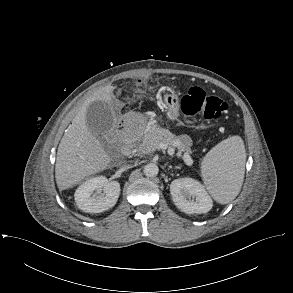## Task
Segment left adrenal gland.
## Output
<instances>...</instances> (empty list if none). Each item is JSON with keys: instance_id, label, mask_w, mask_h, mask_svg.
I'll use <instances>...</instances> for the list:
<instances>
[{"instance_id": "obj_1", "label": "left adrenal gland", "mask_w": 293, "mask_h": 293, "mask_svg": "<svg viewBox=\"0 0 293 293\" xmlns=\"http://www.w3.org/2000/svg\"><path fill=\"white\" fill-rule=\"evenodd\" d=\"M181 167H179V166H177V167H175V169H180Z\"/></svg>"}]
</instances>
